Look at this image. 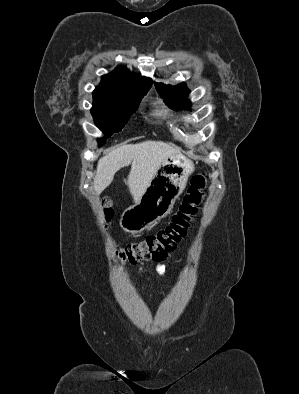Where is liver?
<instances>
[{"label": "liver", "instance_id": "6515ba94", "mask_svg": "<svg viewBox=\"0 0 299 394\" xmlns=\"http://www.w3.org/2000/svg\"><path fill=\"white\" fill-rule=\"evenodd\" d=\"M178 153L177 148L162 141L148 140L120 146L99 159L94 190L101 193L111 184L117 171L131 165L126 184L134 202H139L161 163Z\"/></svg>", "mask_w": 299, "mask_h": 394}]
</instances>
